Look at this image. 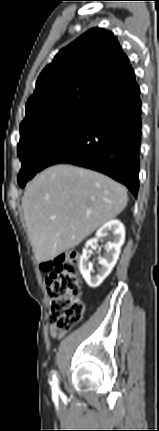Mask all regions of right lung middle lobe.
I'll return each instance as SVG.
<instances>
[{"mask_svg":"<svg viewBox=\"0 0 159 431\" xmlns=\"http://www.w3.org/2000/svg\"><path fill=\"white\" fill-rule=\"evenodd\" d=\"M87 116L78 112H58L20 127L21 139L17 151L22 162L18 175L21 187L40 171L48 150Z\"/></svg>","mask_w":159,"mask_h":431,"instance_id":"dd1d6c3e","label":"right lung middle lobe"}]
</instances>
